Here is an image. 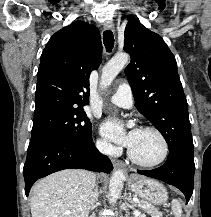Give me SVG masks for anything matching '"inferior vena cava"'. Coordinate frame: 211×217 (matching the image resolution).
<instances>
[{"label":"inferior vena cava","instance_id":"obj_1","mask_svg":"<svg viewBox=\"0 0 211 217\" xmlns=\"http://www.w3.org/2000/svg\"><path fill=\"white\" fill-rule=\"evenodd\" d=\"M98 149L102 152V153H108L110 150V146H108L107 144H100L98 145ZM98 190L97 188L94 190V192L92 193V197H91V205H93L96 200L98 199Z\"/></svg>","mask_w":211,"mask_h":217}]
</instances>
